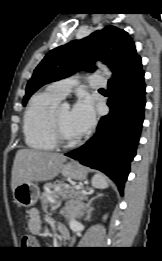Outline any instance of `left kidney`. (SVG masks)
Segmentation results:
<instances>
[{
  "label": "left kidney",
  "mask_w": 162,
  "mask_h": 261,
  "mask_svg": "<svg viewBox=\"0 0 162 261\" xmlns=\"http://www.w3.org/2000/svg\"><path fill=\"white\" fill-rule=\"evenodd\" d=\"M106 218H107V216L105 215L103 219L105 220Z\"/></svg>",
  "instance_id": "1"
}]
</instances>
